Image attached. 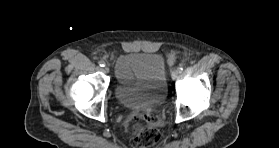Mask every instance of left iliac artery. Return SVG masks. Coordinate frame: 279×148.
<instances>
[{"instance_id": "44dca946", "label": "left iliac artery", "mask_w": 279, "mask_h": 148, "mask_svg": "<svg viewBox=\"0 0 279 148\" xmlns=\"http://www.w3.org/2000/svg\"><path fill=\"white\" fill-rule=\"evenodd\" d=\"M178 70H179V73H181L183 71V67L182 66L179 67Z\"/></svg>"}]
</instances>
